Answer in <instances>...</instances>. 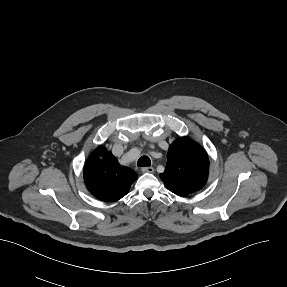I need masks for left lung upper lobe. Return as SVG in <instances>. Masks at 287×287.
Listing matches in <instances>:
<instances>
[{
	"label": "left lung upper lobe",
	"instance_id": "obj_1",
	"mask_svg": "<svg viewBox=\"0 0 287 287\" xmlns=\"http://www.w3.org/2000/svg\"><path fill=\"white\" fill-rule=\"evenodd\" d=\"M208 170L206 151L189 137H181L169 147L166 168L160 178L168 190L185 197L206 184Z\"/></svg>",
	"mask_w": 287,
	"mask_h": 287
}]
</instances>
